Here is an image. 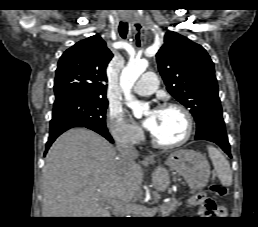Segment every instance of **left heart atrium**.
I'll return each instance as SVG.
<instances>
[{
  "label": "left heart atrium",
  "mask_w": 258,
  "mask_h": 227,
  "mask_svg": "<svg viewBox=\"0 0 258 227\" xmlns=\"http://www.w3.org/2000/svg\"><path fill=\"white\" fill-rule=\"evenodd\" d=\"M144 126L148 129V130H152L153 126H154V118L153 116H149L145 121H144Z\"/></svg>",
  "instance_id": "39dd6f15"
}]
</instances>
